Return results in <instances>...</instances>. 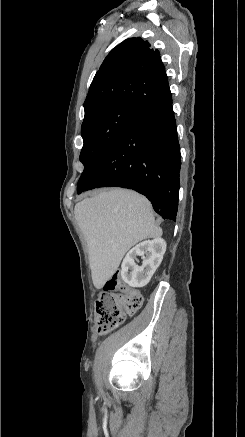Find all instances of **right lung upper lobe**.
Instances as JSON below:
<instances>
[{
  "label": "right lung upper lobe",
  "instance_id": "cb5924a9",
  "mask_svg": "<svg viewBox=\"0 0 245 437\" xmlns=\"http://www.w3.org/2000/svg\"><path fill=\"white\" fill-rule=\"evenodd\" d=\"M171 95L158 50L140 37L116 46L96 73L84 102L85 114L104 104L127 102L141 107Z\"/></svg>",
  "mask_w": 245,
  "mask_h": 437
}]
</instances>
